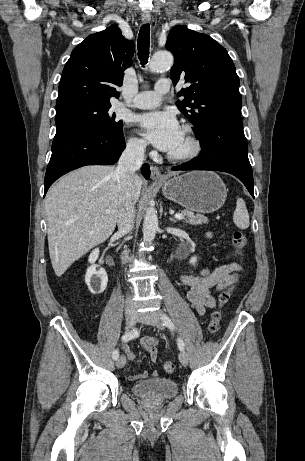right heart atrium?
Here are the masks:
<instances>
[{"mask_svg":"<svg viewBox=\"0 0 305 461\" xmlns=\"http://www.w3.org/2000/svg\"><path fill=\"white\" fill-rule=\"evenodd\" d=\"M127 149L134 155H142L146 149V143L143 139L131 137L127 141Z\"/></svg>","mask_w":305,"mask_h":461,"instance_id":"obj_1","label":"right heart atrium"}]
</instances>
